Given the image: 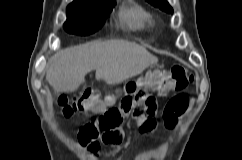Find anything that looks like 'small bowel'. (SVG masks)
Instances as JSON below:
<instances>
[{"instance_id": "1", "label": "small bowel", "mask_w": 242, "mask_h": 160, "mask_svg": "<svg viewBox=\"0 0 242 160\" xmlns=\"http://www.w3.org/2000/svg\"><path fill=\"white\" fill-rule=\"evenodd\" d=\"M119 108L121 109V105L119 106ZM165 119V117H164ZM177 121H178V116H174L173 117V120L171 122H168L166 119H165V122L166 124L170 127V128H174L177 124ZM145 122H146V119L145 118H139L138 119V124H139V127H140V130L142 132H150L151 130L150 129H145ZM124 131L121 127H118L117 129L109 132V133H106V134H103L101 136V141L103 144H106V145H111V146H118L122 143L123 139H124ZM86 146L88 147V149L90 150V152H96L98 147H94L92 146L91 144H86Z\"/></svg>"}]
</instances>
